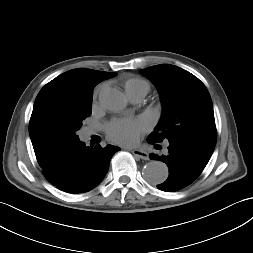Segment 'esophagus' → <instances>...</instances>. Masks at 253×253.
Here are the masks:
<instances>
[{"mask_svg": "<svg viewBox=\"0 0 253 253\" xmlns=\"http://www.w3.org/2000/svg\"><path fill=\"white\" fill-rule=\"evenodd\" d=\"M132 153L136 156L139 157L143 160H148L149 159V155L146 151L142 150V149H134L132 150Z\"/></svg>", "mask_w": 253, "mask_h": 253, "instance_id": "34e87169", "label": "esophagus"}]
</instances>
